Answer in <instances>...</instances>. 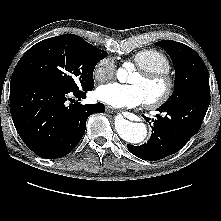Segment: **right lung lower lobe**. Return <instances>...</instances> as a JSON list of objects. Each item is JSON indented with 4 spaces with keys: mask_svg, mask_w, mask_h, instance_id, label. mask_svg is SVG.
<instances>
[{
    "mask_svg": "<svg viewBox=\"0 0 221 221\" xmlns=\"http://www.w3.org/2000/svg\"><path fill=\"white\" fill-rule=\"evenodd\" d=\"M91 90L68 91L30 74L13 73L10 112L27 147L46 159L61 158L72 151L85 132L87 118L103 113L105 106L79 102L68 106L67 97L73 94L81 100Z\"/></svg>",
    "mask_w": 221,
    "mask_h": 221,
    "instance_id": "right-lung-lower-lobe-1",
    "label": "right lung lower lobe"
}]
</instances>
